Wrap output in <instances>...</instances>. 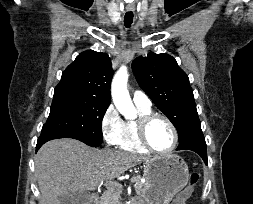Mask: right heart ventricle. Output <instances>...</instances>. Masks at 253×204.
<instances>
[{
  "instance_id": "obj_1",
  "label": "right heart ventricle",
  "mask_w": 253,
  "mask_h": 204,
  "mask_svg": "<svg viewBox=\"0 0 253 204\" xmlns=\"http://www.w3.org/2000/svg\"><path fill=\"white\" fill-rule=\"evenodd\" d=\"M137 109L140 117L151 113L150 108H142L137 106ZM118 145L121 150L126 152L138 155H146L149 153V151L143 147V145L139 140L137 120L135 121L129 120L124 122V130L122 138Z\"/></svg>"
}]
</instances>
